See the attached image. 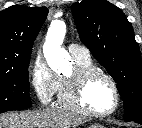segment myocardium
I'll list each match as a JSON object with an SVG mask.
<instances>
[{
    "label": "myocardium",
    "mask_w": 142,
    "mask_h": 128,
    "mask_svg": "<svg viewBox=\"0 0 142 128\" xmlns=\"http://www.w3.org/2000/svg\"><path fill=\"white\" fill-rule=\"evenodd\" d=\"M96 76L105 78L113 89L115 104L110 111L103 113L95 112L88 109L84 104V90L88 83ZM64 83L67 105L80 114L94 118H105L113 115L120 106L121 96L116 81L110 74L98 67H76L70 76L64 78Z\"/></svg>",
    "instance_id": "myocardium-1"
}]
</instances>
